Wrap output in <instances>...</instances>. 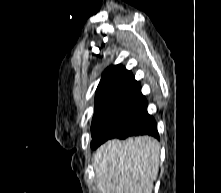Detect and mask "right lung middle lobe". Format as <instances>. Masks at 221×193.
Returning <instances> with one entry per match:
<instances>
[{
	"label": "right lung middle lobe",
	"instance_id": "right-lung-middle-lobe-1",
	"mask_svg": "<svg viewBox=\"0 0 221 193\" xmlns=\"http://www.w3.org/2000/svg\"><path fill=\"white\" fill-rule=\"evenodd\" d=\"M149 116L147 102H121L95 112L91 125V148L96 149L105 141L125 134Z\"/></svg>",
	"mask_w": 221,
	"mask_h": 193
}]
</instances>
